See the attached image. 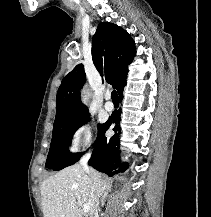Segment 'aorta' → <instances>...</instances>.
<instances>
[{
    "instance_id": "aorta-1",
    "label": "aorta",
    "mask_w": 211,
    "mask_h": 217,
    "mask_svg": "<svg viewBox=\"0 0 211 217\" xmlns=\"http://www.w3.org/2000/svg\"><path fill=\"white\" fill-rule=\"evenodd\" d=\"M88 94H89L88 92H85V93L83 94V97H82V98H83V101H84V102H86V100H87V98H88Z\"/></svg>"
}]
</instances>
